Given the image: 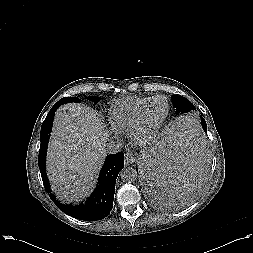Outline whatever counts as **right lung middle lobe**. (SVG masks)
Instances as JSON below:
<instances>
[{
    "label": "right lung middle lobe",
    "instance_id": "dd1d6c3e",
    "mask_svg": "<svg viewBox=\"0 0 253 253\" xmlns=\"http://www.w3.org/2000/svg\"><path fill=\"white\" fill-rule=\"evenodd\" d=\"M88 100L93 101L94 103H98L100 101V98L98 97H88ZM69 102H76V103H80V100L76 97H64L61 100H59L57 103H59L60 105L65 104V103H69ZM47 131L41 130L40 133V140L45 136V134H47Z\"/></svg>",
    "mask_w": 253,
    "mask_h": 253
}]
</instances>
